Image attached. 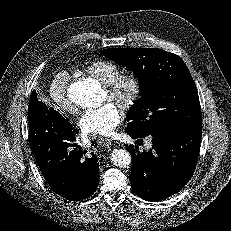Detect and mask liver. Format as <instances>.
Returning a JSON list of instances; mask_svg holds the SVG:
<instances>
[{"mask_svg": "<svg viewBox=\"0 0 231 231\" xmlns=\"http://www.w3.org/2000/svg\"><path fill=\"white\" fill-rule=\"evenodd\" d=\"M40 99H42L45 103H48V99L45 98L44 96L40 97Z\"/></svg>", "mask_w": 231, "mask_h": 231, "instance_id": "liver-1", "label": "liver"}]
</instances>
